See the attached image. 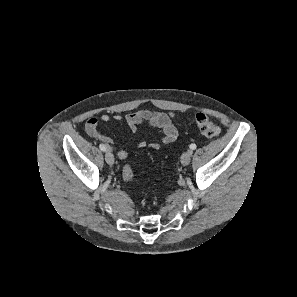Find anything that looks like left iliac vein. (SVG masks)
Listing matches in <instances>:
<instances>
[{"label": "left iliac vein", "instance_id": "4c4485c4", "mask_svg": "<svg viewBox=\"0 0 297 297\" xmlns=\"http://www.w3.org/2000/svg\"><path fill=\"white\" fill-rule=\"evenodd\" d=\"M191 154H192L191 151H186L182 154L181 163L183 166H187L190 163Z\"/></svg>", "mask_w": 297, "mask_h": 297}]
</instances>
